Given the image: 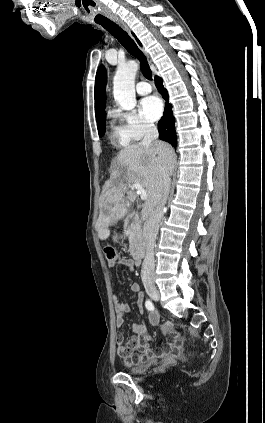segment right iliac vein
Masks as SVG:
<instances>
[{
  "label": "right iliac vein",
  "instance_id": "right-iliac-vein-1",
  "mask_svg": "<svg viewBox=\"0 0 265 423\" xmlns=\"http://www.w3.org/2000/svg\"><path fill=\"white\" fill-rule=\"evenodd\" d=\"M144 287L145 290L147 292V294L153 299V300H159L160 298V294L157 290V288L155 287V285L153 284L152 281L150 280H145L144 281Z\"/></svg>",
  "mask_w": 265,
  "mask_h": 423
}]
</instances>
